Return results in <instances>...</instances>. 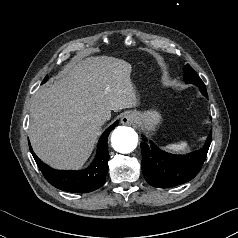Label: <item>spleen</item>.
Returning a JSON list of instances; mask_svg holds the SVG:
<instances>
[{
  "mask_svg": "<svg viewBox=\"0 0 238 238\" xmlns=\"http://www.w3.org/2000/svg\"><path fill=\"white\" fill-rule=\"evenodd\" d=\"M165 150L175 153H182L187 151L188 145L186 142H180L176 144H169L166 147H164Z\"/></svg>",
  "mask_w": 238,
  "mask_h": 238,
  "instance_id": "obj_1",
  "label": "spleen"
}]
</instances>
